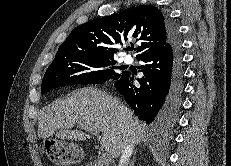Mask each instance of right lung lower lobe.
I'll return each instance as SVG.
<instances>
[{
    "label": "right lung lower lobe",
    "instance_id": "1",
    "mask_svg": "<svg viewBox=\"0 0 231 166\" xmlns=\"http://www.w3.org/2000/svg\"><path fill=\"white\" fill-rule=\"evenodd\" d=\"M169 41L160 50L140 57L144 76L133 85V76L123 72L114 82L136 115L161 133L175 123L181 105L183 72L181 42L175 24L168 19Z\"/></svg>",
    "mask_w": 231,
    "mask_h": 166
}]
</instances>
